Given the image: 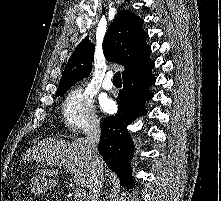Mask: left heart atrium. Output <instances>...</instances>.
<instances>
[{
  "mask_svg": "<svg viewBox=\"0 0 221 201\" xmlns=\"http://www.w3.org/2000/svg\"><path fill=\"white\" fill-rule=\"evenodd\" d=\"M100 105H101L102 110L105 112H111L113 109V102L107 98H103L100 101Z\"/></svg>",
  "mask_w": 221,
  "mask_h": 201,
  "instance_id": "left-heart-atrium-1",
  "label": "left heart atrium"
}]
</instances>
